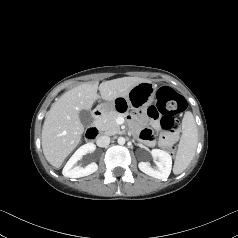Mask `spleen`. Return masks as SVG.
<instances>
[{
	"label": "spleen",
	"instance_id": "spleen-1",
	"mask_svg": "<svg viewBox=\"0 0 238 238\" xmlns=\"http://www.w3.org/2000/svg\"><path fill=\"white\" fill-rule=\"evenodd\" d=\"M198 132L193 114L187 111L182 120V135L174 162V174L182 173L191 163L197 148Z\"/></svg>",
	"mask_w": 238,
	"mask_h": 238
}]
</instances>
